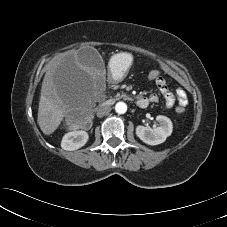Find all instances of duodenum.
<instances>
[{
    "instance_id": "duodenum-1",
    "label": "duodenum",
    "mask_w": 227,
    "mask_h": 227,
    "mask_svg": "<svg viewBox=\"0 0 227 227\" xmlns=\"http://www.w3.org/2000/svg\"><path fill=\"white\" fill-rule=\"evenodd\" d=\"M110 103H106V105H109ZM136 104L140 108H146L148 106V100L145 98H140L136 101Z\"/></svg>"
}]
</instances>
